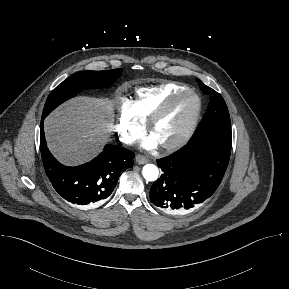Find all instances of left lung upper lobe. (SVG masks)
<instances>
[{
  "mask_svg": "<svg viewBox=\"0 0 289 289\" xmlns=\"http://www.w3.org/2000/svg\"><path fill=\"white\" fill-rule=\"evenodd\" d=\"M196 80L201 90L210 96V102L207 113L191 139L205 136L231 137L230 116L224 99L219 93L203 84L199 79Z\"/></svg>",
  "mask_w": 289,
  "mask_h": 289,
  "instance_id": "1",
  "label": "left lung upper lobe"
}]
</instances>
